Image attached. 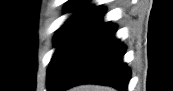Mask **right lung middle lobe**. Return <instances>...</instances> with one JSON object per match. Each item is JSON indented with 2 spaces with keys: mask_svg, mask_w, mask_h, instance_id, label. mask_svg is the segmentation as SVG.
Instances as JSON below:
<instances>
[{
  "mask_svg": "<svg viewBox=\"0 0 173 91\" xmlns=\"http://www.w3.org/2000/svg\"><path fill=\"white\" fill-rule=\"evenodd\" d=\"M82 24L76 23H65L57 32L55 36V45L57 46V50L55 51L52 60L50 62L48 68L47 79H49L55 71L57 63L63 56L65 50L68 45L78 33V31L82 28Z\"/></svg>",
  "mask_w": 173,
  "mask_h": 91,
  "instance_id": "dd1d6c3e",
  "label": "right lung middle lobe"
}]
</instances>
